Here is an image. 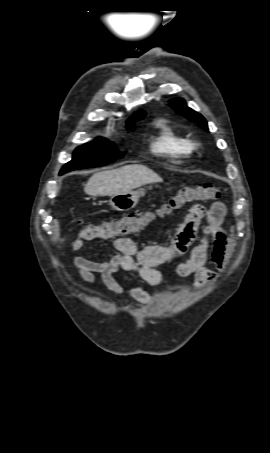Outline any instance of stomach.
I'll list each match as a JSON object with an SVG mask.
<instances>
[{
    "label": "stomach",
    "mask_w": 270,
    "mask_h": 453,
    "mask_svg": "<svg viewBox=\"0 0 270 453\" xmlns=\"http://www.w3.org/2000/svg\"><path fill=\"white\" fill-rule=\"evenodd\" d=\"M144 194L143 190H138L112 195L109 199V204L114 210L128 211L137 205L139 198L144 196Z\"/></svg>",
    "instance_id": "1"
}]
</instances>
